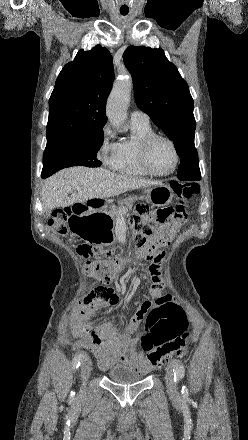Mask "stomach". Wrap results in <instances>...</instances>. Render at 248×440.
I'll return each instance as SVG.
<instances>
[{
	"mask_svg": "<svg viewBox=\"0 0 248 440\" xmlns=\"http://www.w3.org/2000/svg\"><path fill=\"white\" fill-rule=\"evenodd\" d=\"M141 197L153 206H165L171 202L173 193L170 187L158 184L144 188ZM83 203L75 204V213H80L81 218H70V232L84 246H114L115 218H111L110 209H100L103 199Z\"/></svg>",
	"mask_w": 248,
	"mask_h": 440,
	"instance_id": "1",
	"label": "stomach"
}]
</instances>
